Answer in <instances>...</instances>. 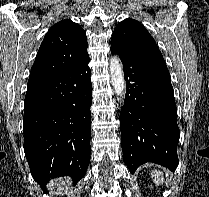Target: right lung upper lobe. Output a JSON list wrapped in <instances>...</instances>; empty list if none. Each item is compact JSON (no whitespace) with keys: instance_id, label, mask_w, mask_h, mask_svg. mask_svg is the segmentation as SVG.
<instances>
[{"instance_id":"cb5924a9","label":"right lung upper lobe","mask_w":209,"mask_h":197,"mask_svg":"<svg viewBox=\"0 0 209 197\" xmlns=\"http://www.w3.org/2000/svg\"><path fill=\"white\" fill-rule=\"evenodd\" d=\"M87 37L71 20L53 25L45 35L32 66L27 87L54 78L88 56Z\"/></svg>"}]
</instances>
